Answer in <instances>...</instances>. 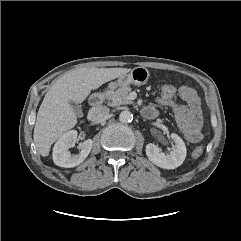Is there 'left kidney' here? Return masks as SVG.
I'll return each instance as SVG.
<instances>
[{
	"mask_svg": "<svg viewBox=\"0 0 241 241\" xmlns=\"http://www.w3.org/2000/svg\"><path fill=\"white\" fill-rule=\"evenodd\" d=\"M170 137L175 143V149L169 154H164L155 144L149 143L146 145V155L148 159L160 168H177L183 163L187 154L184 141L174 133L171 134Z\"/></svg>",
	"mask_w": 241,
	"mask_h": 241,
	"instance_id": "1",
	"label": "left kidney"
}]
</instances>
